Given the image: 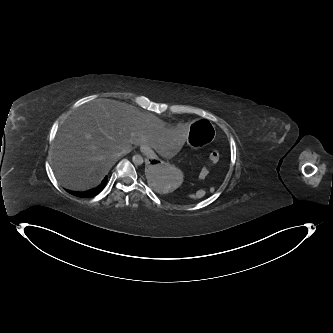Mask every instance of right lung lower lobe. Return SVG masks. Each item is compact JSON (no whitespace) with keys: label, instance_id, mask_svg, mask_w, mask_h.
Returning <instances> with one entry per match:
<instances>
[{"label":"right lung lower lobe","instance_id":"obj_1","mask_svg":"<svg viewBox=\"0 0 333 333\" xmlns=\"http://www.w3.org/2000/svg\"><path fill=\"white\" fill-rule=\"evenodd\" d=\"M106 183H107V177H105L104 180L102 181V183L96 188H93V189L85 191V192H72V194L77 196V197H81V198H83V197H93V196L97 195L98 193H100L103 190Z\"/></svg>","mask_w":333,"mask_h":333}]
</instances>
